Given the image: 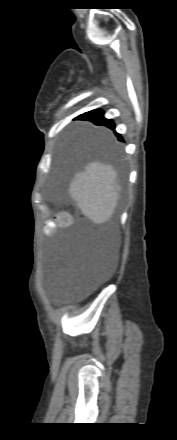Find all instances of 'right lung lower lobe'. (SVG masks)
I'll return each instance as SVG.
<instances>
[{"instance_id": "98d812e1", "label": "right lung lower lobe", "mask_w": 177, "mask_h": 440, "mask_svg": "<svg viewBox=\"0 0 177 440\" xmlns=\"http://www.w3.org/2000/svg\"><path fill=\"white\" fill-rule=\"evenodd\" d=\"M77 119L87 120L93 122L95 125L106 126L111 129H115L114 122L110 119H106L104 117V113L101 110H92L86 112L77 117ZM119 141H123L122 137L119 134H116Z\"/></svg>"}]
</instances>
